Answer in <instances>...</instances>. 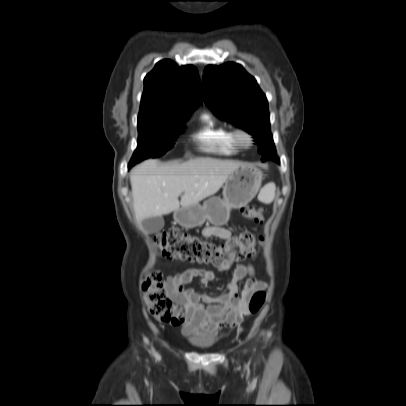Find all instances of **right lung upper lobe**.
<instances>
[{"mask_svg": "<svg viewBox=\"0 0 406 406\" xmlns=\"http://www.w3.org/2000/svg\"><path fill=\"white\" fill-rule=\"evenodd\" d=\"M200 99L197 69L162 60L144 79L138 118L186 120Z\"/></svg>", "mask_w": 406, "mask_h": 406, "instance_id": "right-lung-upper-lobe-1", "label": "right lung upper lobe"}]
</instances>
